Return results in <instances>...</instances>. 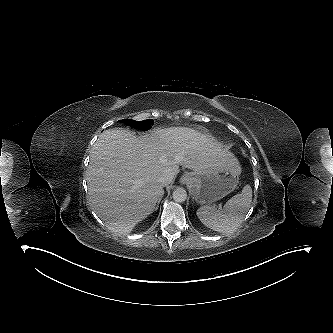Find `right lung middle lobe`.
<instances>
[{
    "mask_svg": "<svg viewBox=\"0 0 333 333\" xmlns=\"http://www.w3.org/2000/svg\"><path fill=\"white\" fill-rule=\"evenodd\" d=\"M121 122H123L133 128L141 129V130L150 129L154 123V121L152 119L143 120V121H134L131 119H123V120H121Z\"/></svg>",
    "mask_w": 333,
    "mask_h": 333,
    "instance_id": "right-lung-middle-lobe-1",
    "label": "right lung middle lobe"
}]
</instances>
